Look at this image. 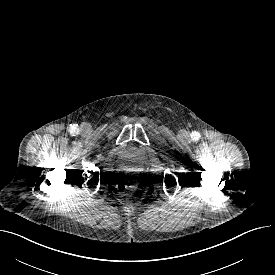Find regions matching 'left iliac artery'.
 Listing matches in <instances>:
<instances>
[{
  "mask_svg": "<svg viewBox=\"0 0 275 275\" xmlns=\"http://www.w3.org/2000/svg\"><path fill=\"white\" fill-rule=\"evenodd\" d=\"M191 136H192L193 139H198L199 138V133L198 132H193Z\"/></svg>",
  "mask_w": 275,
  "mask_h": 275,
  "instance_id": "left-iliac-artery-1",
  "label": "left iliac artery"
}]
</instances>
